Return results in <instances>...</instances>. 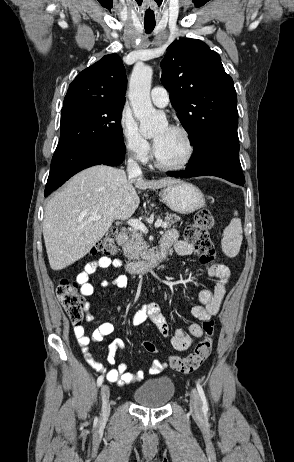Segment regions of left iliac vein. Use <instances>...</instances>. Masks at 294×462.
Segmentation results:
<instances>
[{"label": "left iliac vein", "mask_w": 294, "mask_h": 462, "mask_svg": "<svg viewBox=\"0 0 294 462\" xmlns=\"http://www.w3.org/2000/svg\"><path fill=\"white\" fill-rule=\"evenodd\" d=\"M190 409L194 415H200L202 412L200 397L195 389L190 392Z\"/></svg>", "instance_id": "4c4485c4"}]
</instances>
